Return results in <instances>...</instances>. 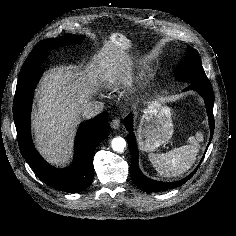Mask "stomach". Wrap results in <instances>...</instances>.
<instances>
[{"label":"stomach","instance_id":"stomach-1","mask_svg":"<svg viewBox=\"0 0 236 236\" xmlns=\"http://www.w3.org/2000/svg\"><path fill=\"white\" fill-rule=\"evenodd\" d=\"M111 39L119 46L128 44V40L120 34L114 33ZM171 115V108L160 99L148 102L137 129L138 144L142 151L151 152L169 142L174 132Z\"/></svg>","mask_w":236,"mask_h":236}]
</instances>
